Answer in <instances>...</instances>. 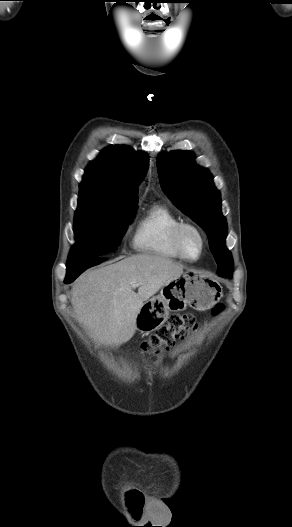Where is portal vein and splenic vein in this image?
I'll use <instances>...</instances> for the list:
<instances>
[{
  "label": "portal vein and splenic vein",
  "mask_w": 292,
  "mask_h": 527,
  "mask_svg": "<svg viewBox=\"0 0 292 527\" xmlns=\"http://www.w3.org/2000/svg\"><path fill=\"white\" fill-rule=\"evenodd\" d=\"M137 286H138V284H135V283L132 284V287H133V288H135V287H137Z\"/></svg>",
  "instance_id": "1"
}]
</instances>
